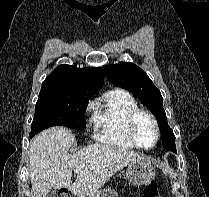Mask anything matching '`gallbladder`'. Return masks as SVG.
I'll return each mask as SVG.
<instances>
[{
  "mask_svg": "<svg viewBox=\"0 0 209 197\" xmlns=\"http://www.w3.org/2000/svg\"><path fill=\"white\" fill-rule=\"evenodd\" d=\"M46 197H57V192L56 190H51Z\"/></svg>",
  "mask_w": 209,
  "mask_h": 197,
  "instance_id": "1",
  "label": "gallbladder"
}]
</instances>
